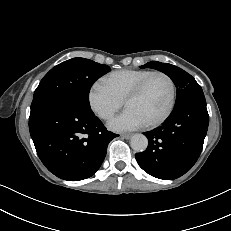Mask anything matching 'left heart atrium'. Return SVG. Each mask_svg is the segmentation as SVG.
<instances>
[{"label": "left heart atrium", "instance_id": "1", "mask_svg": "<svg viewBox=\"0 0 231 231\" xmlns=\"http://www.w3.org/2000/svg\"><path fill=\"white\" fill-rule=\"evenodd\" d=\"M144 125H146L145 121L131 109H126L108 124L111 130L117 132L136 130Z\"/></svg>", "mask_w": 231, "mask_h": 231}]
</instances>
